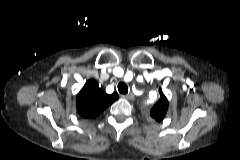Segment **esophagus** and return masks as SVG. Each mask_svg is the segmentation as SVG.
Returning <instances> with one entry per match:
<instances>
[{
	"mask_svg": "<svg viewBox=\"0 0 240 160\" xmlns=\"http://www.w3.org/2000/svg\"><path fill=\"white\" fill-rule=\"evenodd\" d=\"M124 97L128 100H134L135 99V96H134L133 93H128Z\"/></svg>",
	"mask_w": 240,
	"mask_h": 160,
	"instance_id": "34e87169",
	"label": "esophagus"
}]
</instances>
